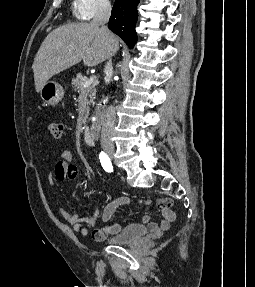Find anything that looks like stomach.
<instances>
[{"instance_id":"stomach-1","label":"stomach","mask_w":255,"mask_h":287,"mask_svg":"<svg viewBox=\"0 0 255 287\" xmlns=\"http://www.w3.org/2000/svg\"><path fill=\"white\" fill-rule=\"evenodd\" d=\"M40 96L48 106H57L64 98V90L57 82H46L40 90Z\"/></svg>"}]
</instances>
